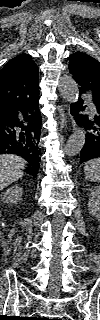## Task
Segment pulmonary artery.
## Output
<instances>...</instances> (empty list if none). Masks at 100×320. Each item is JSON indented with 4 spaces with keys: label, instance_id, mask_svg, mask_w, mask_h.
Masks as SVG:
<instances>
[{
    "label": "pulmonary artery",
    "instance_id": "1",
    "mask_svg": "<svg viewBox=\"0 0 100 320\" xmlns=\"http://www.w3.org/2000/svg\"><path fill=\"white\" fill-rule=\"evenodd\" d=\"M91 112L93 113L94 112V109H93V107L91 106Z\"/></svg>",
    "mask_w": 100,
    "mask_h": 320
}]
</instances>
